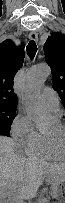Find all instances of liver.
Segmentation results:
<instances>
[{
	"label": "liver",
	"mask_w": 65,
	"mask_h": 203,
	"mask_svg": "<svg viewBox=\"0 0 65 203\" xmlns=\"http://www.w3.org/2000/svg\"><path fill=\"white\" fill-rule=\"evenodd\" d=\"M64 165L48 163L19 155L14 150V141L0 137V196L1 199L17 197L30 199L43 180L54 175L62 177ZM16 203V201H14Z\"/></svg>",
	"instance_id": "liver-1"
}]
</instances>
